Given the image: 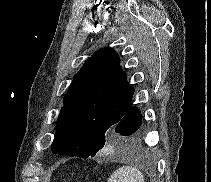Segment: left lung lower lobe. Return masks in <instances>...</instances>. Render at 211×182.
Masks as SVG:
<instances>
[{
	"mask_svg": "<svg viewBox=\"0 0 211 182\" xmlns=\"http://www.w3.org/2000/svg\"><path fill=\"white\" fill-rule=\"evenodd\" d=\"M142 115L138 108L131 106L112 131L110 142L117 147L130 144L132 137L140 133Z\"/></svg>",
	"mask_w": 211,
	"mask_h": 182,
	"instance_id": "left-lung-lower-lobe-1",
	"label": "left lung lower lobe"
}]
</instances>
